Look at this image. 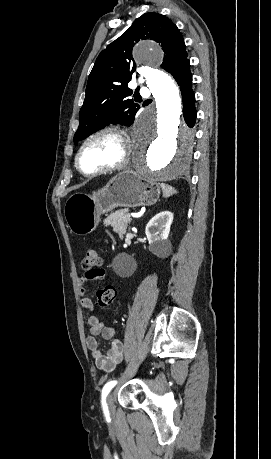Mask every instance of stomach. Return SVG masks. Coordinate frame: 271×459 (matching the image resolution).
<instances>
[{"instance_id":"obj_1","label":"stomach","mask_w":271,"mask_h":459,"mask_svg":"<svg viewBox=\"0 0 271 459\" xmlns=\"http://www.w3.org/2000/svg\"><path fill=\"white\" fill-rule=\"evenodd\" d=\"M159 196L160 186L156 180L139 176L133 170H123L91 196L73 194L65 204L64 216L72 233L86 235L97 228L102 214L114 208L153 206Z\"/></svg>"}]
</instances>
